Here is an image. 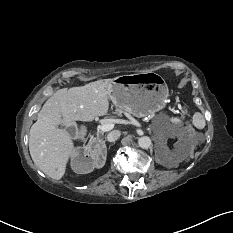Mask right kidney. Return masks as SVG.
Segmentation results:
<instances>
[{"label":"right kidney","instance_id":"1","mask_svg":"<svg viewBox=\"0 0 233 233\" xmlns=\"http://www.w3.org/2000/svg\"><path fill=\"white\" fill-rule=\"evenodd\" d=\"M106 156V150L89 147L83 157L73 156L71 168L77 174L91 173L95 168H102L105 165Z\"/></svg>","mask_w":233,"mask_h":233}]
</instances>
